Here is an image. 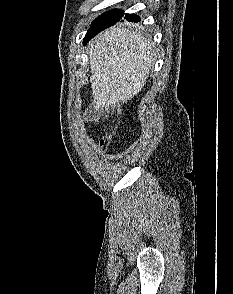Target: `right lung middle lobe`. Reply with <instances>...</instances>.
<instances>
[{"label": "right lung middle lobe", "mask_w": 233, "mask_h": 294, "mask_svg": "<svg viewBox=\"0 0 233 294\" xmlns=\"http://www.w3.org/2000/svg\"><path fill=\"white\" fill-rule=\"evenodd\" d=\"M123 14V11L116 9L105 12L93 21L90 29L95 28L104 23H116L123 16Z\"/></svg>", "instance_id": "obj_1"}]
</instances>
